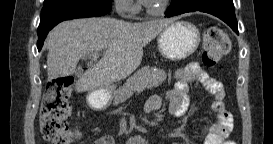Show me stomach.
Wrapping results in <instances>:
<instances>
[{"instance_id":"1","label":"stomach","mask_w":273,"mask_h":144,"mask_svg":"<svg viewBox=\"0 0 273 144\" xmlns=\"http://www.w3.org/2000/svg\"><path fill=\"white\" fill-rule=\"evenodd\" d=\"M199 43V30L187 21L171 23L159 34L157 39L161 55L173 61L185 59L193 54ZM114 93L113 87L93 90L87 95V104L94 110H104L111 105Z\"/></svg>"}]
</instances>
